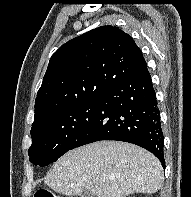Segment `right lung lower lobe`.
Listing matches in <instances>:
<instances>
[{
	"label": "right lung lower lobe",
	"mask_w": 191,
	"mask_h": 197,
	"mask_svg": "<svg viewBox=\"0 0 191 197\" xmlns=\"http://www.w3.org/2000/svg\"><path fill=\"white\" fill-rule=\"evenodd\" d=\"M97 102L70 150L100 140L125 141L150 151L165 167L160 111L147 67L109 86Z\"/></svg>",
	"instance_id": "1"
}]
</instances>
